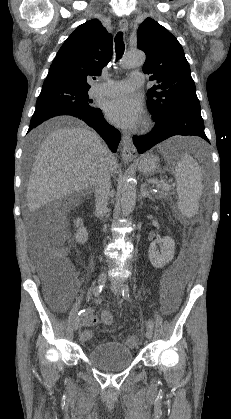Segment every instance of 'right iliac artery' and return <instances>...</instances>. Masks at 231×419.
I'll list each match as a JSON object with an SVG mask.
<instances>
[{
    "label": "right iliac artery",
    "mask_w": 231,
    "mask_h": 419,
    "mask_svg": "<svg viewBox=\"0 0 231 419\" xmlns=\"http://www.w3.org/2000/svg\"><path fill=\"white\" fill-rule=\"evenodd\" d=\"M102 289H103V285L96 286L94 288V290H93V296L94 297L98 296L101 293ZM85 314H86V310L85 309L81 310L78 313V315H85Z\"/></svg>",
    "instance_id": "obj_1"
}]
</instances>
